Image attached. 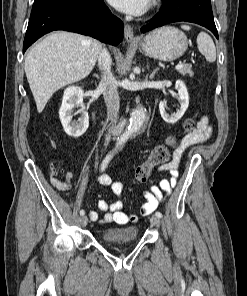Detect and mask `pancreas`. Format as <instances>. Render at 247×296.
Segmentation results:
<instances>
[{"label": "pancreas", "instance_id": "pancreas-1", "mask_svg": "<svg viewBox=\"0 0 247 296\" xmlns=\"http://www.w3.org/2000/svg\"><path fill=\"white\" fill-rule=\"evenodd\" d=\"M178 71L182 75H189L190 77L193 76V71L191 69V65H189V64L183 65V67L181 69H179Z\"/></svg>", "mask_w": 247, "mask_h": 296}]
</instances>
